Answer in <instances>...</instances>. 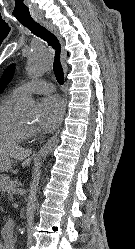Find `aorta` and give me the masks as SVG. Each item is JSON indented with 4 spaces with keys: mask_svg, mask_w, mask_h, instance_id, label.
I'll return each mask as SVG.
<instances>
[{
    "mask_svg": "<svg viewBox=\"0 0 135 249\" xmlns=\"http://www.w3.org/2000/svg\"><path fill=\"white\" fill-rule=\"evenodd\" d=\"M52 62V55L48 48L40 46L34 48L27 60L26 71L29 77L38 79L42 77L50 68ZM26 111L34 113L36 104L29 98L24 104Z\"/></svg>",
    "mask_w": 135,
    "mask_h": 249,
    "instance_id": "762f6f07",
    "label": "aorta"
}]
</instances>
